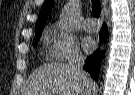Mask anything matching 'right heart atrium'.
<instances>
[{
	"label": "right heart atrium",
	"instance_id": "right-heart-atrium-1",
	"mask_svg": "<svg viewBox=\"0 0 135 95\" xmlns=\"http://www.w3.org/2000/svg\"><path fill=\"white\" fill-rule=\"evenodd\" d=\"M50 33L52 35L50 56L53 60L63 62L82 57L76 39L61 25H54Z\"/></svg>",
	"mask_w": 135,
	"mask_h": 95
}]
</instances>
